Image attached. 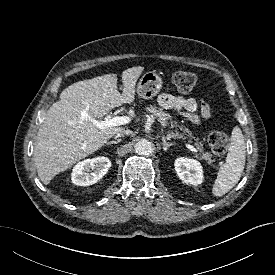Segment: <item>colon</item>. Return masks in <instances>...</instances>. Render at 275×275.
I'll return each mask as SVG.
<instances>
[{"mask_svg": "<svg viewBox=\"0 0 275 275\" xmlns=\"http://www.w3.org/2000/svg\"><path fill=\"white\" fill-rule=\"evenodd\" d=\"M172 82L179 91L189 92L195 87L197 78L191 72L178 71L173 74ZM208 143L215 153L222 154L227 150L228 137L223 132L212 131L208 135Z\"/></svg>", "mask_w": 275, "mask_h": 275, "instance_id": "obj_1", "label": "colon"}]
</instances>
